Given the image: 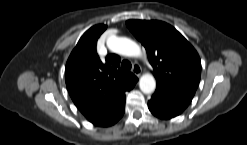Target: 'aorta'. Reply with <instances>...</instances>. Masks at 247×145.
<instances>
[{
    "instance_id": "aorta-1",
    "label": "aorta",
    "mask_w": 247,
    "mask_h": 145,
    "mask_svg": "<svg viewBox=\"0 0 247 145\" xmlns=\"http://www.w3.org/2000/svg\"><path fill=\"white\" fill-rule=\"evenodd\" d=\"M108 47L115 53L128 57L141 55L139 45L131 39L124 37H110L107 41ZM139 87L145 94L152 93L156 88V81L152 74H144L139 80Z\"/></svg>"
}]
</instances>
